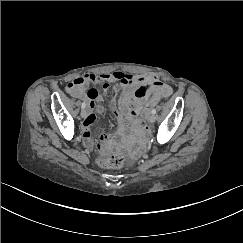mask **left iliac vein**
I'll return each instance as SVG.
<instances>
[{
  "mask_svg": "<svg viewBox=\"0 0 243 243\" xmlns=\"http://www.w3.org/2000/svg\"><path fill=\"white\" fill-rule=\"evenodd\" d=\"M155 120H156V116H155L154 114H152V115L149 117V119H148V121H149L150 123H154Z\"/></svg>",
  "mask_w": 243,
  "mask_h": 243,
  "instance_id": "left-iliac-vein-1",
  "label": "left iliac vein"
}]
</instances>
